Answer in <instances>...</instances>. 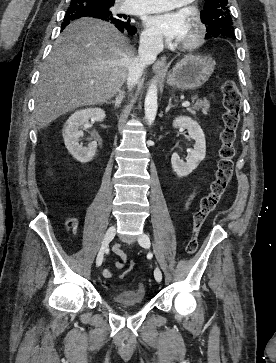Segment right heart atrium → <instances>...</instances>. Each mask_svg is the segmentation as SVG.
<instances>
[{
  "instance_id": "obj_1",
  "label": "right heart atrium",
  "mask_w": 276,
  "mask_h": 363,
  "mask_svg": "<svg viewBox=\"0 0 276 363\" xmlns=\"http://www.w3.org/2000/svg\"><path fill=\"white\" fill-rule=\"evenodd\" d=\"M143 39L146 44L155 45L158 44V40L149 31L143 33Z\"/></svg>"
}]
</instances>
